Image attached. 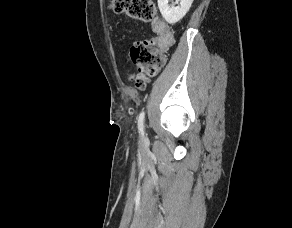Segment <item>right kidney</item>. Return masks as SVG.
Listing matches in <instances>:
<instances>
[{
    "label": "right kidney",
    "mask_w": 292,
    "mask_h": 228,
    "mask_svg": "<svg viewBox=\"0 0 292 228\" xmlns=\"http://www.w3.org/2000/svg\"><path fill=\"white\" fill-rule=\"evenodd\" d=\"M178 6H168V0H158L159 10L169 24H175L180 21L190 9L193 0H179Z\"/></svg>",
    "instance_id": "ca27d5eb"
}]
</instances>
